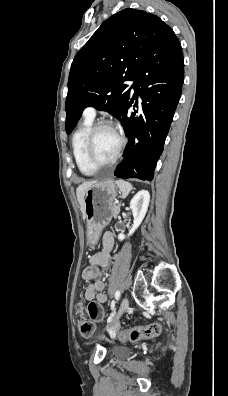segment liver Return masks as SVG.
Returning a JSON list of instances; mask_svg holds the SVG:
<instances>
[{"mask_svg":"<svg viewBox=\"0 0 228 396\" xmlns=\"http://www.w3.org/2000/svg\"><path fill=\"white\" fill-rule=\"evenodd\" d=\"M92 183H94V182H83L76 189V195H77L78 202L80 204V210L83 214V219H85V217H86L85 216V206H84V196H85V192H86L87 188Z\"/></svg>","mask_w":228,"mask_h":396,"instance_id":"liver-1","label":"liver"}]
</instances>
